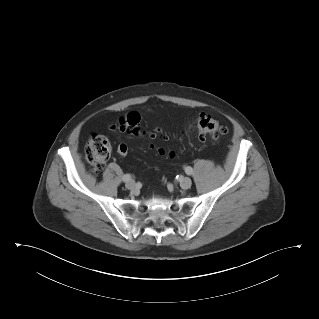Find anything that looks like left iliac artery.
Returning a JSON list of instances; mask_svg holds the SVG:
<instances>
[{
    "label": "left iliac artery",
    "instance_id": "44dca946",
    "mask_svg": "<svg viewBox=\"0 0 319 319\" xmlns=\"http://www.w3.org/2000/svg\"><path fill=\"white\" fill-rule=\"evenodd\" d=\"M185 172L186 174L191 175L193 173V169L190 166H188L185 168Z\"/></svg>",
    "mask_w": 319,
    "mask_h": 319
}]
</instances>
